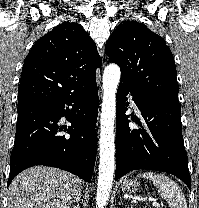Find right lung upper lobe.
Returning <instances> with one entry per match:
<instances>
[{
	"instance_id": "cb5924a9",
	"label": "right lung upper lobe",
	"mask_w": 199,
	"mask_h": 208,
	"mask_svg": "<svg viewBox=\"0 0 199 208\" xmlns=\"http://www.w3.org/2000/svg\"><path fill=\"white\" fill-rule=\"evenodd\" d=\"M101 65L96 44L81 25L59 24L33 45L24 61L19 108L83 89Z\"/></svg>"
}]
</instances>
